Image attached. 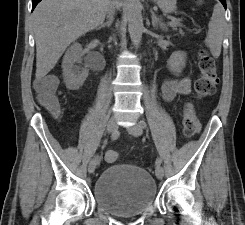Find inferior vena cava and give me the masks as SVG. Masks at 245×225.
Here are the masks:
<instances>
[{"label":"inferior vena cava","mask_w":245,"mask_h":225,"mask_svg":"<svg viewBox=\"0 0 245 225\" xmlns=\"http://www.w3.org/2000/svg\"><path fill=\"white\" fill-rule=\"evenodd\" d=\"M115 2H111L110 5L108 6L107 13L109 18H113L114 12H115Z\"/></svg>","instance_id":"inferior-vena-cava-1"}]
</instances>
